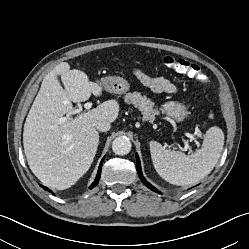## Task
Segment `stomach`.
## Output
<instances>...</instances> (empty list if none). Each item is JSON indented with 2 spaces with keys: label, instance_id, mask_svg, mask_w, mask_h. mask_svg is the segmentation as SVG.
Instances as JSON below:
<instances>
[{
  "label": "stomach",
  "instance_id": "0dacf381",
  "mask_svg": "<svg viewBox=\"0 0 249 249\" xmlns=\"http://www.w3.org/2000/svg\"><path fill=\"white\" fill-rule=\"evenodd\" d=\"M101 83L106 91L114 94H123L130 89V84L122 77L107 76L101 79ZM162 111L177 122H182L187 116L186 107L177 101L166 102Z\"/></svg>",
  "mask_w": 249,
  "mask_h": 249
}]
</instances>
